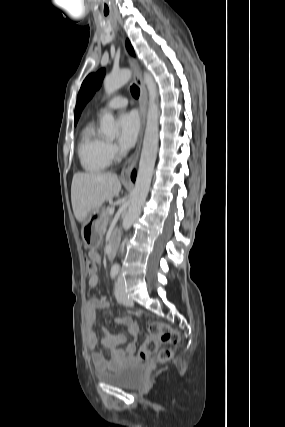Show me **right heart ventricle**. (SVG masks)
Instances as JSON below:
<instances>
[{
	"instance_id": "e07e8e85",
	"label": "right heart ventricle",
	"mask_w": 285,
	"mask_h": 427,
	"mask_svg": "<svg viewBox=\"0 0 285 427\" xmlns=\"http://www.w3.org/2000/svg\"><path fill=\"white\" fill-rule=\"evenodd\" d=\"M77 154L82 168L88 173H99L109 166L108 141L97 133L94 122L83 128Z\"/></svg>"
}]
</instances>
